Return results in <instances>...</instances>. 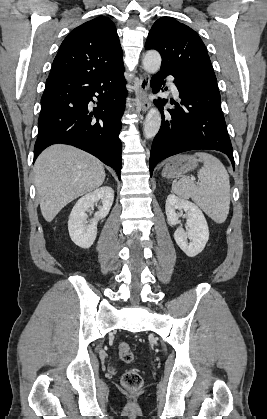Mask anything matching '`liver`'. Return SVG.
Segmentation results:
<instances>
[{"mask_svg":"<svg viewBox=\"0 0 267 419\" xmlns=\"http://www.w3.org/2000/svg\"><path fill=\"white\" fill-rule=\"evenodd\" d=\"M34 176L42 215L51 222L68 203L101 186L106 175L94 156L56 144L39 155Z\"/></svg>","mask_w":267,"mask_h":419,"instance_id":"6515ba94","label":"liver"}]
</instances>
